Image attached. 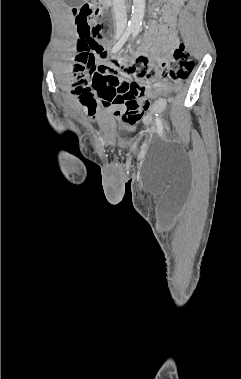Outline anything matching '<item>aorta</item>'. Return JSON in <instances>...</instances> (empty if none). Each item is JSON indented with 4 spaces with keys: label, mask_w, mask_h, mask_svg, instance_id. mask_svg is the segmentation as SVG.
Returning a JSON list of instances; mask_svg holds the SVG:
<instances>
[{
    "label": "aorta",
    "mask_w": 241,
    "mask_h": 379,
    "mask_svg": "<svg viewBox=\"0 0 241 379\" xmlns=\"http://www.w3.org/2000/svg\"><path fill=\"white\" fill-rule=\"evenodd\" d=\"M145 0H133L132 15L129 27L133 31H138L142 25L144 17Z\"/></svg>",
    "instance_id": "762f6f07"
}]
</instances>
